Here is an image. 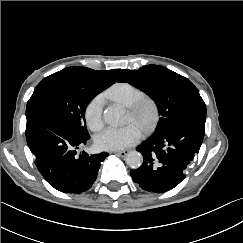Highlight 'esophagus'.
<instances>
[{
  "instance_id": "34e87169",
  "label": "esophagus",
  "mask_w": 243,
  "mask_h": 243,
  "mask_svg": "<svg viewBox=\"0 0 243 243\" xmlns=\"http://www.w3.org/2000/svg\"><path fill=\"white\" fill-rule=\"evenodd\" d=\"M128 150L116 151L115 153L121 157H125L128 154Z\"/></svg>"
}]
</instances>
